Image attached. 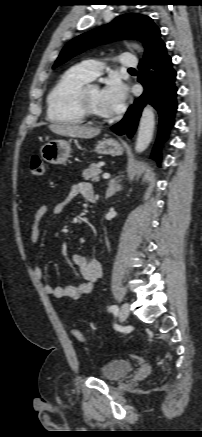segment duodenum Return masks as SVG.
I'll return each instance as SVG.
<instances>
[{
    "instance_id": "1",
    "label": "duodenum",
    "mask_w": 202,
    "mask_h": 437,
    "mask_svg": "<svg viewBox=\"0 0 202 437\" xmlns=\"http://www.w3.org/2000/svg\"><path fill=\"white\" fill-rule=\"evenodd\" d=\"M89 201L91 202V203H95V196H91L90 198H89Z\"/></svg>"
}]
</instances>
